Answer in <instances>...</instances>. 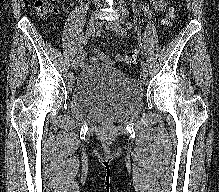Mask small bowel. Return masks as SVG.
I'll list each match as a JSON object with an SVG mask.
<instances>
[{"mask_svg": "<svg viewBox=\"0 0 219 192\" xmlns=\"http://www.w3.org/2000/svg\"><path fill=\"white\" fill-rule=\"evenodd\" d=\"M149 2H150V6L146 4L140 5L141 9L144 11L145 15L148 17L151 16L152 11L160 13L164 11L165 8L167 7V3L165 0H149ZM101 56H102L101 53H97V58H101Z\"/></svg>", "mask_w": 219, "mask_h": 192, "instance_id": "small-bowel-1", "label": "small bowel"}]
</instances>
